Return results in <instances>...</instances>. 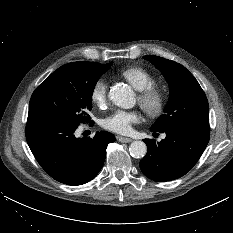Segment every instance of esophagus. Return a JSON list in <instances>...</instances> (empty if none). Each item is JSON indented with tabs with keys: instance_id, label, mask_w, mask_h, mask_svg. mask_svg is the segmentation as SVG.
I'll return each instance as SVG.
<instances>
[{
	"instance_id": "obj_1",
	"label": "esophagus",
	"mask_w": 233,
	"mask_h": 233,
	"mask_svg": "<svg viewBox=\"0 0 233 233\" xmlns=\"http://www.w3.org/2000/svg\"><path fill=\"white\" fill-rule=\"evenodd\" d=\"M117 140L123 143H130L133 141V139L123 136H117Z\"/></svg>"
}]
</instances>
